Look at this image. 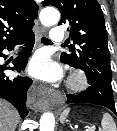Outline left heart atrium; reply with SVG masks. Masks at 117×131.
<instances>
[{
	"instance_id": "39dd6f15",
	"label": "left heart atrium",
	"mask_w": 117,
	"mask_h": 131,
	"mask_svg": "<svg viewBox=\"0 0 117 131\" xmlns=\"http://www.w3.org/2000/svg\"><path fill=\"white\" fill-rule=\"evenodd\" d=\"M29 73L45 81H55L60 77L61 70L47 54L38 53L30 62Z\"/></svg>"
}]
</instances>
